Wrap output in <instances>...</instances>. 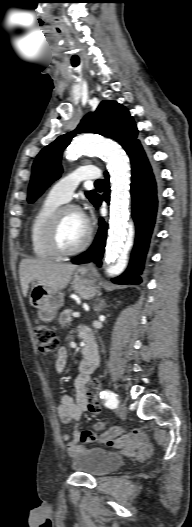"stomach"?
<instances>
[{
  "label": "stomach",
  "instance_id": "obj_1",
  "mask_svg": "<svg viewBox=\"0 0 192 527\" xmlns=\"http://www.w3.org/2000/svg\"><path fill=\"white\" fill-rule=\"evenodd\" d=\"M71 284L82 298L90 299L97 292V275L88 268H80L75 272ZM29 301L37 309L39 319L50 322L63 305L64 295L60 291L54 292L38 282H33L29 292Z\"/></svg>",
  "mask_w": 192,
  "mask_h": 527
}]
</instances>
